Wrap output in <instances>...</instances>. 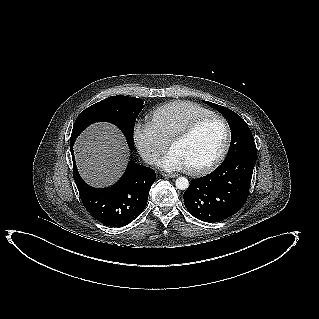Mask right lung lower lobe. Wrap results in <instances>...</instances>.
I'll return each mask as SVG.
<instances>
[{"label":"right lung lower lobe","mask_w":319,"mask_h":319,"mask_svg":"<svg viewBox=\"0 0 319 319\" xmlns=\"http://www.w3.org/2000/svg\"><path fill=\"white\" fill-rule=\"evenodd\" d=\"M73 144L74 141H70L73 177L86 210L106 226L121 227L132 222L146 207L149 190L156 178L154 170L129 162L116 184L96 189L80 177L75 165Z\"/></svg>","instance_id":"right-lung-lower-lobe-1"}]
</instances>
